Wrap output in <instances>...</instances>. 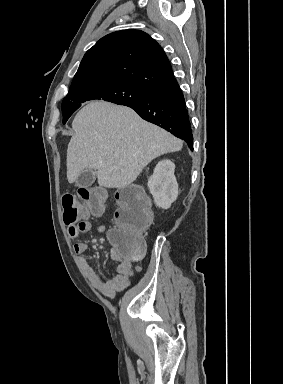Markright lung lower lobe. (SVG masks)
<instances>
[{
  "label": "right lung lower lobe",
  "mask_w": 283,
  "mask_h": 384,
  "mask_svg": "<svg viewBox=\"0 0 283 384\" xmlns=\"http://www.w3.org/2000/svg\"><path fill=\"white\" fill-rule=\"evenodd\" d=\"M144 120L154 123L184 140L193 150V135L182 91L173 77L149 91L141 101L123 104Z\"/></svg>",
  "instance_id": "1"
}]
</instances>
